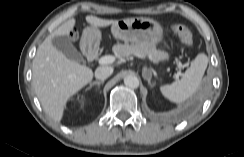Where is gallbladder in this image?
Wrapping results in <instances>:
<instances>
[{
  "label": "gallbladder",
  "mask_w": 244,
  "mask_h": 157,
  "mask_svg": "<svg viewBox=\"0 0 244 157\" xmlns=\"http://www.w3.org/2000/svg\"><path fill=\"white\" fill-rule=\"evenodd\" d=\"M53 45L61 51L67 58L76 61L83 62L84 58L80 52L74 47L71 41L65 36H55L52 40Z\"/></svg>",
  "instance_id": "obj_1"
}]
</instances>
